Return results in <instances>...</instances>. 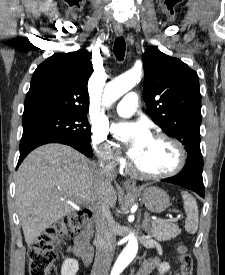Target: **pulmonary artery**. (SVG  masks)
<instances>
[{
    "label": "pulmonary artery",
    "mask_w": 225,
    "mask_h": 275,
    "mask_svg": "<svg viewBox=\"0 0 225 275\" xmlns=\"http://www.w3.org/2000/svg\"><path fill=\"white\" fill-rule=\"evenodd\" d=\"M138 107V95L135 92L127 93L116 105V112L120 116H131Z\"/></svg>",
    "instance_id": "obj_1"
}]
</instances>
